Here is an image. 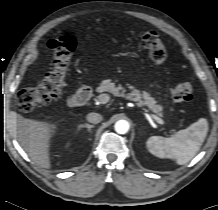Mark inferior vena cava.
Returning a JSON list of instances; mask_svg holds the SVG:
<instances>
[{
	"label": "inferior vena cava",
	"instance_id": "602c4592",
	"mask_svg": "<svg viewBox=\"0 0 218 210\" xmlns=\"http://www.w3.org/2000/svg\"><path fill=\"white\" fill-rule=\"evenodd\" d=\"M87 120L90 122V123H94V124H97L99 122L102 121V116L98 113H90L88 114L87 116Z\"/></svg>",
	"mask_w": 218,
	"mask_h": 210
}]
</instances>
